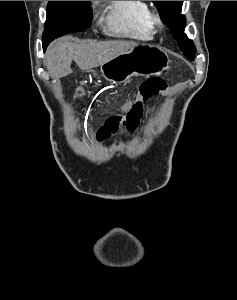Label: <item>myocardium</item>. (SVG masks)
<instances>
[{
	"label": "myocardium",
	"mask_w": 237,
	"mask_h": 300,
	"mask_svg": "<svg viewBox=\"0 0 237 300\" xmlns=\"http://www.w3.org/2000/svg\"><path fill=\"white\" fill-rule=\"evenodd\" d=\"M149 23L151 28L160 30L163 28V21L160 14L156 11L149 13Z\"/></svg>",
	"instance_id": "1"
}]
</instances>
